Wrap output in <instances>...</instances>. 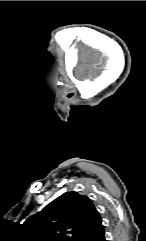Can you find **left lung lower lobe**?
Masks as SVG:
<instances>
[{
	"label": "left lung lower lobe",
	"instance_id": "obj_1",
	"mask_svg": "<svg viewBox=\"0 0 146 241\" xmlns=\"http://www.w3.org/2000/svg\"><path fill=\"white\" fill-rule=\"evenodd\" d=\"M102 222L92 231L83 235L79 241H106Z\"/></svg>",
	"mask_w": 146,
	"mask_h": 241
}]
</instances>
